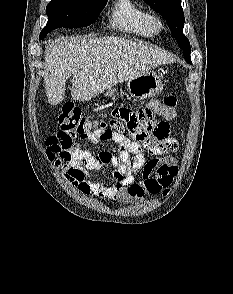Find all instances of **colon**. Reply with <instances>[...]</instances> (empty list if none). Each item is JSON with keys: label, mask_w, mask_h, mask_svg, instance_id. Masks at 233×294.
<instances>
[{"label": "colon", "mask_w": 233, "mask_h": 294, "mask_svg": "<svg viewBox=\"0 0 233 294\" xmlns=\"http://www.w3.org/2000/svg\"><path fill=\"white\" fill-rule=\"evenodd\" d=\"M141 108H154L161 110V117L165 120H172L178 116L179 106L177 96L174 92L165 95L162 100L153 105ZM117 113V110L114 113ZM126 120V119H125ZM109 121H117L114 117ZM59 131L53 136L51 146L47 151L49 159H71L77 151L76 138H90L95 139L94 133L99 131L106 135L110 132H122L124 129H113V126H108V121H101L94 123L89 120L82 112V110L73 105L65 104L58 116Z\"/></svg>", "instance_id": "1"}]
</instances>
